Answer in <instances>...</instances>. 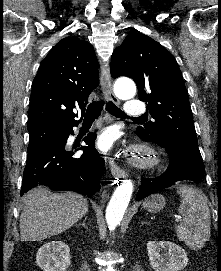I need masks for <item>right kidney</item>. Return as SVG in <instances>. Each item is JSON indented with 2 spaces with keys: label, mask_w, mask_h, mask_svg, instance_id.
<instances>
[{
  "label": "right kidney",
  "mask_w": 221,
  "mask_h": 271,
  "mask_svg": "<svg viewBox=\"0 0 221 271\" xmlns=\"http://www.w3.org/2000/svg\"><path fill=\"white\" fill-rule=\"evenodd\" d=\"M70 247L64 241H47L36 253V263L43 271H67Z\"/></svg>",
  "instance_id": "ca27d5eb"
}]
</instances>
